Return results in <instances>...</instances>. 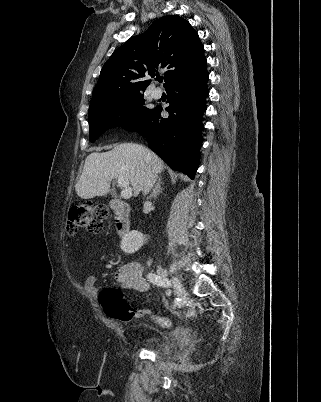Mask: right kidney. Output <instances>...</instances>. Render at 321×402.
<instances>
[{"label": "right kidney", "instance_id": "1", "mask_svg": "<svg viewBox=\"0 0 321 402\" xmlns=\"http://www.w3.org/2000/svg\"><path fill=\"white\" fill-rule=\"evenodd\" d=\"M144 243V236L142 233L133 230L126 234L121 241V250L126 254H132L138 251Z\"/></svg>", "mask_w": 321, "mask_h": 402}]
</instances>
